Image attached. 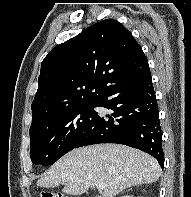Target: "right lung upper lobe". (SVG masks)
Wrapping results in <instances>:
<instances>
[{
    "label": "right lung upper lobe",
    "mask_w": 191,
    "mask_h": 197,
    "mask_svg": "<svg viewBox=\"0 0 191 197\" xmlns=\"http://www.w3.org/2000/svg\"><path fill=\"white\" fill-rule=\"evenodd\" d=\"M147 65L141 46L118 21L86 28L42 61L30 129L73 106L97 101L107 88Z\"/></svg>",
    "instance_id": "1"
}]
</instances>
